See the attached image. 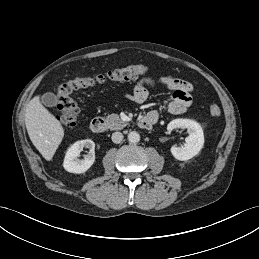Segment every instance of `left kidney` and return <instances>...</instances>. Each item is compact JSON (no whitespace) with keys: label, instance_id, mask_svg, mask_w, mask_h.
Segmentation results:
<instances>
[{"label":"left kidney","instance_id":"left-kidney-1","mask_svg":"<svg viewBox=\"0 0 259 259\" xmlns=\"http://www.w3.org/2000/svg\"><path fill=\"white\" fill-rule=\"evenodd\" d=\"M187 129L186 143L180 147H171L172 155L180 161H186L196 156L204 145V134L199 123L190 119H174L168 126V130Z\"/></svg>","mask_w":259,"mask_h":259}]
</instances>
